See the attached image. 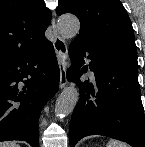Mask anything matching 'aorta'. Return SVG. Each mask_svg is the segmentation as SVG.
<instances>
[{"instance_id": "762f6f07", "label": "aorta", "mask_w": 145, "mask_h": 147, "mask_svg": "<svg viewBox=\"0 0 145 147\" xmlns=\"http://www.w3.org/2000/svg\"><path fill=\"white\" fill-rule=\"evenodd\" d=\"M58 30L64 38H74L80 30V22L73 15H62L58 19ZM79 99V92L75 85L66 87L56 101L55 113L62 118L69 115Z\"/></svg>"}]
</instances>
